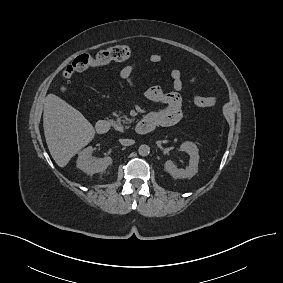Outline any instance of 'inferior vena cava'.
Returning <instances> with one entry per match:
<instances>
[{
    "mask_svg": "<svg viewBox=\"0 0 283 283\" xmlns=\"http://www.w3.org/2000/svg\"><path fill=\"white\" fill-rule=\"evenodd\" d=\"M120 143L124 146H130L133 145L135 141L132 139H120Z\"/></svg>",
    "mask_w": 283,
    "mask_h": 283,
    "instance_id": "inferior-vena-cava-1",
    "label": "inferior vena cava"
}]
</instances>
